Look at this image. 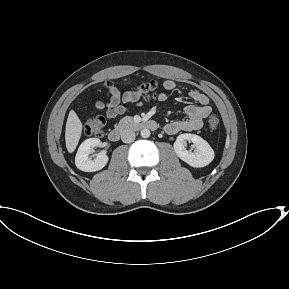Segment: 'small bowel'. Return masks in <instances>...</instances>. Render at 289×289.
<instances>
[{
    "label": "small bowel",
    "mask_w": 289,
    "mask_h": 289,
    "mask_svg": "<svg viewBox=\"0 0 289 289\" xmlns=\"http://www.w3.org/2000/svg\"><path fill=\"white\" fill-rule=\"evenodd\" d=\"M163 88L166 91H172L177 88V83L173 80H165ZM110 98L107 100H99L96 102V107L100 110H105L106 116L109 119H113L119 115H122L128 111L126 105L140 106V91H127L120 94L115 88L110 89ZM190 99L194 104H189L184 108L186 118L181 120H174L167 123L164 127L165 131L174 135L179 132H191L199 130L203 125V120L210 115L212 108L209 105V98L206 94L192 90L189 93ZM159 101L164 102L167 100L166 93H160L158 97Z\"/></svg>",
    "instance_id": "obj_1"
}]
</instances>
